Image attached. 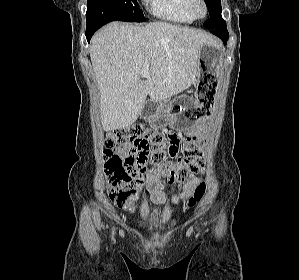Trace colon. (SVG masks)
<instances>
[{
	"label": "colon",
	"instance_id": "5ec220e1",
	"mask_svg": "<svg viewBox=\"0 0 299 280\" xmlns=\"http://www.w3.org/2000/svg\"><path fill=\"white\" fill-rule=\"evenodd\" d=\"M104 149L105 174L108 194L120 208L135 210L141 196L140 182L147 168H159L162 176L173 181L183 178L199 163L201 154L194 136H188L183 143V158L175 161L180 149V135L175 130L161 132L136 124L119 128L109 133ZM128 147L125 157L116 151ZM206 191L204 183L198 184L187 206L199 202Z\"/></svg>",
	"mask_w": 299,
	"mask_h": 280
}]
</instances>
